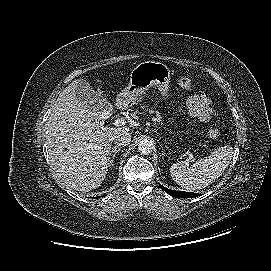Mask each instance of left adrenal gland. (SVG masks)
Returning <instances> with one entry per match:
<instances>
[{"label": "left adrenal gland", "mask_w": 271, "mask_h": 271, "mask_svg": "<svg viewBox=\"0 0 271 271\" xmlns=\"http://www.w3.org/2000/svg\"><path fill=\"white\" fill-rule=\"evenodd\" d=\"M162 155H163L164 157L166 156L164 152H162Z\"/></svg>", "instance_id": "obj_1"}]
</instances>
